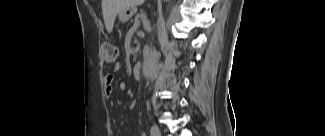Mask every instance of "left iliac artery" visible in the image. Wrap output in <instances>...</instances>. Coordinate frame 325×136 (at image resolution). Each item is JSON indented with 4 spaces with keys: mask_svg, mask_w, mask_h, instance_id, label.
Returning a JSON list of instances; mask_svg holds the SVG:
<instances>
[{
    "mask_svg": "<svg viewBox=\"0 0 325 136\" xmlns=\"http://www.w3.org/2000/svg\"><path fill=\"white\" fill-rule=\"evenodd\" d=\"M151 136H158L160 135V131L156 126H152L151 127Z\"/></svg>",
    "mask_w": 325,
    "mask_h": 136,
    "instance_id": "left-iliac-artery-1",
    "label": "left iliac artery"
}]
</instances>
